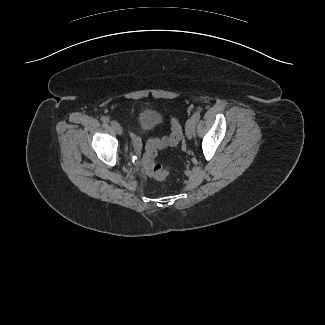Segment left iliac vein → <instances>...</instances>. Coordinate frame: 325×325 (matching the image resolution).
<instances>
[{"label":"left iliac vein","instance_id":"1","mask_svg":"<svg viewBox=\"0 0 325 325\" xmlns=\"http://www.w3.org/2000/svg\"><path fill=\"white\" fill-rule=\"evenodd\" d=\"M186 136L188 139H192L194 136V122L192 118L188 119L185 126Z\"/></svg>","mask_w":325,"mask_h":325}]
</instances>
